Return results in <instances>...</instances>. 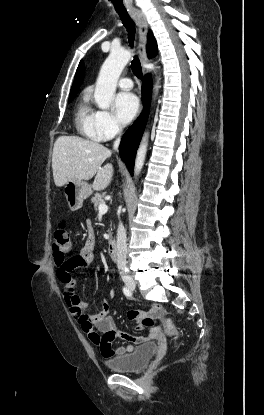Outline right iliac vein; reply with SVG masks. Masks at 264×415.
Listing matches in <instances>:
<instances>
[{
	"mask_svg": "<svg viewBox=\"0 0 264 415\" xmlns=\"http://www.w3.org/2000/svg\"><path fill=\"white\" fill-rule=\"evenodd\" d=\"M126 285L129 288H134L135 287V282L133 280H128V281H126Z\"/></svg>",
	"mask_w": 264,
	"mask_h": 415,
	"instance_id": "obj_1",
	"label": "right iliac vein"
}]
</instances>
